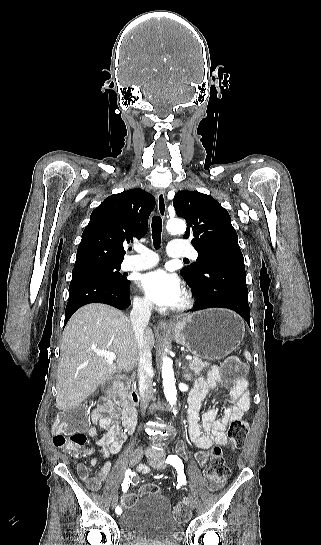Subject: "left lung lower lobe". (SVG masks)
Masks as SVG:
<instances>
[{"label":"left lung lower lobe","instance_id":"0a47b994","mask_svg":"<svg viewBox=\"0 0 321 545\" xmlns=\"http://www.w3.org/2000/svg\"><path fill=\"white\" fill-rule=\"evenodd\" d=\"M187 282L196 293L192 311L228 308L237 312L250 325L246 272L241 250L214 253L204 262L197 278Z\"/></svg>","mask_w":321,"mask_h":545}]
</instances>
